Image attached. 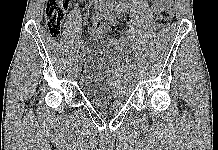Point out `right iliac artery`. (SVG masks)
<instances>
[{"instance_id":"1","label":"right iliac artery","mask_w":218,"mask_h":150,"mask_svg":"<svg viewBox=\"0 0 218 150\" xmlns=\"http://www.w3.org/2000/svg\"><path fill=\"white\" fill-rule=\"evenodd\" d=\"M104 9H102V7L100 6V7H98V11H96V13L94 14V19H101L102 17H103V15H104ZM79 54H80V56L79 57H81V55H83L84 54V51L83 50H80L79 51Z\"/></svg>"}]
</instances>
